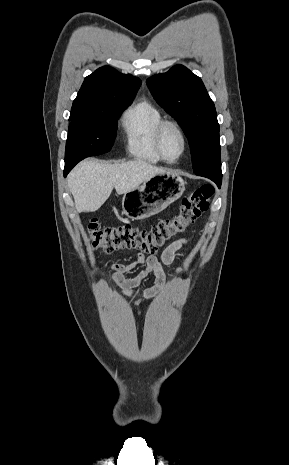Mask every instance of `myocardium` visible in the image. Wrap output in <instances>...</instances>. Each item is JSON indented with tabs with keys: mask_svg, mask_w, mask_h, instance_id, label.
I'll list each match as a JSON object with an SVG mask.
<instances>
[{
	"mask_svg": "<svg viewBox=\"0 0 289 465\" xmlns=\"http://www.w3.org/2000/svg\"><path fill=\"white\" fill-rule=\"evenodd\" d=\"M170 127L174 128L178 132L182 140V151L180 155L176 157L175 159L168 158L164 152V137H165V133L167 129ZM155 145H156L157 152L163 161L167 163H176L186 153L187 147H188V140H187V136H186L184 129L177 121L173 119H163L159 123L157 130H156Z\"/></svg>",
	"mask_w": 289,
	"mask_h": 465,
	"instance_id": "myocardium-1",
	"label": "myocardium"
}]
</instances>
